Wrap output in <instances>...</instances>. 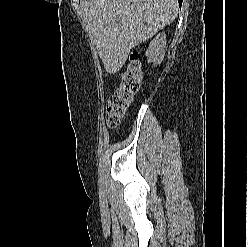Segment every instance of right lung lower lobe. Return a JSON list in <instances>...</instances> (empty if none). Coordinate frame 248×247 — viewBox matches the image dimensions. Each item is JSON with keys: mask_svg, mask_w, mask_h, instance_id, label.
<instances>
[{"mask_svg": "<svg viewBox=\"0 0 248 247\" xmlns=\"http://www.w3.org/2000/svg\"><path fill=\"white\" fill-rule=\"evenodd\" d=\"M183 0H178L179 5L181 6Z\"/></svg>", "mask_w": 248, "mask_h": 247, "instance_id": "right-lung-lower-lobe-1", "label": "right lung lower lobe"}]
</instances>
